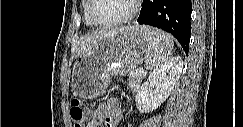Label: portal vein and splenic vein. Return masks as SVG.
<instances>
[{
	"instance_id": "18ae733b",
	"label": "portal vein and splenic vein",
	"mask_w": 243,
	"mask_h": 127,
	"mask_svg": "<svg viewBox=\"0 0 243 127\" xmlns=\"http://www.w3.org/2000/svg\"><path fill=\"white\" fill-rule=\"evenodd\" d=\"M136 74H144V71H135Z\"/></svg>"
}]
</instances>
